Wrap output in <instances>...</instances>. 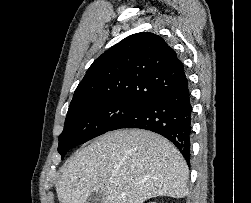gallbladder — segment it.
<instances>
[{
	"label": "gallbladder",
	"mask_w": 251,
	"mask_h": 203,
	"mask_svg": "<svg viewBox=\"0 0 251 203\" xmlns=\"http://www.w3.org/2000/svg\"><path fill=\"white\" fill-rule=\"evenodd\" d=\"M86 203H104V196L101 192H93L87 198Z\"/></svg>",
	"instance_id": "obj_1"
}]
</instances>
